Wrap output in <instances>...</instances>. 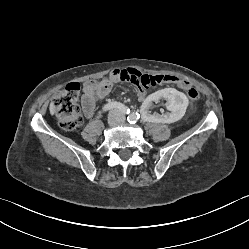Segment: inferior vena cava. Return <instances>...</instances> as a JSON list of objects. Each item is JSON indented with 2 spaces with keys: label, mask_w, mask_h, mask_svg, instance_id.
Returning a JSON list of instances; mask_svg holds the SVG:
<instances>
[{
  "label": "inferior vena cava",
  "mask_w": 249,
  "mask_h": 249,
  "mask_svg": "<svg viewBox=\"0 0 249 249\" xmlns=\"http://www.w3.org/2000/svg\"><path fill=\"white\" fill-rule=\"evenodd\" d=\"M120 120L121 121H124L125 120V117L123 115H120Z\"/></svg>",
  "instance_id": "1"
}]
</instances>
